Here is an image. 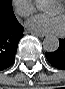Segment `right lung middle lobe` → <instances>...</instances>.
I'll use <instances>...</instances> for the list:
<instances>
[{"label":"right lung middle lobe","mask_w":65,"mask_h":89,"mask_svg":"<svg viewBox=\"0 0 65 89\" xmlns=\"http://www.w3.org/2000/svg\"><path fill=\"white\" fill-rule=\"evenodd\" d=\"M0 17L15 18L12 0H0Z\"/></svg>","instance_id":"obj_1"}]
</instances>
